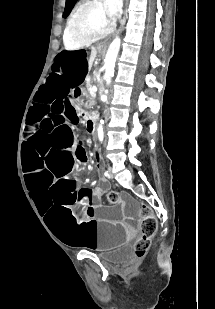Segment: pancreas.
Segmentation results:
<instances>
[{
	"instance_id": "pancreas-1",
	"label": "pancreas",
	"mask_w": 215,
	"mask_h": 309,
	"mask_svg": "<svg viewBox=\"0 0 215 309\" xmlns=\"http://www.w3.org/2000/svg\"><path fill=\"white\" fill-rule=\"evenodd\" d=\"M93 80H86V88L88 90V92H90L93 84H92ZM88 104H96V100H95V96H88Z\"/></svg>"
}]
</instances>
